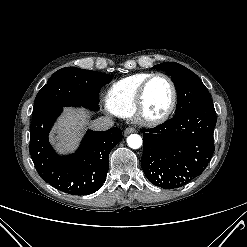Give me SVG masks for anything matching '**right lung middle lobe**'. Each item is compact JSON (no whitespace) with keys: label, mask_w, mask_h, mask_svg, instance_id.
<instances>
[{"label":"right lung middle lobe","mask_w":247,"mask_h":247,"mask_svg":"<svg viewBox=\"0 0 247 247\" xmlns=\"http://www.w3.org/2000/svg\"><path fill=\"white\" fill-rule=\"evenodd\" d=\"M112 77L105 73L65 67L55 72L38 92L33 114L57 106H84L98 110V94Z\"/></svg>","instance_id":"obj_1"}]
</instances>
